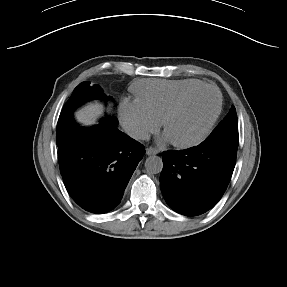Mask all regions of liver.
I'll return each instance as SVG.
<instances>
[{"mask_svg":"<svg viewBox=\"0 0 287 287\" xmlns=\"http://www.w3.org/2000/svg\"><path fill=\"white\" fill-rule=\"evenodd\" d=\"M101 113L102 107L99 104H90L76 113V119L83 125H92Z\"/></svg>","mask_w":287,"mask_h":287,"instance_id":"liver-1","label":"liver"}]
</instances>
